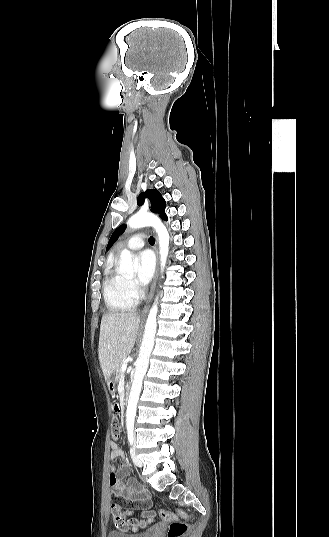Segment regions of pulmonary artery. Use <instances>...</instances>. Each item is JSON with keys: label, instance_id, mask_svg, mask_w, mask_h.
<instances>
[{"label": "pulmonary artery", "instance_id": "obj_1", "mask_svg": "<svg viewBox=\"0 0 329 537\" xmlns=\"http://www.w3.org/2000/svg\"><path fill=\"white\" fill-rule=\"evenodd\" d=\"M144 237L141 234L132 236L126 243V247L130 250H138L144 246Z\"/></svg>", "mask_w": 329, "mask_h": 537}]
</instances>
